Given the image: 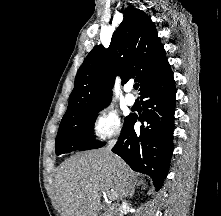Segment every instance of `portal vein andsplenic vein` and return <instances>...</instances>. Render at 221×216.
Segmentation results:
<instances>
[{"mask_svg":"<svg viewBox=\"0 0 221 216\" xmlns=\"http://www.w3.org/2000/svg\"><path fill=\"white\" fill-rule=\"evenodd\" d=\"M104 194L108 197V199L112 200L114 198V196L112 195V193H106L104 192Z\"/></svg>","mask_w":221,"mask_h":216,"instance_id":"obj_1","label":"portal vein and splenic vein"}]
</instances>
